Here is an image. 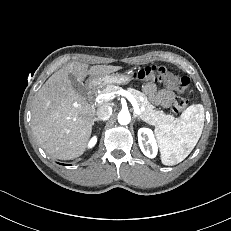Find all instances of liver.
<instances>
[{"mask_svg":"<svg viewBox=\"0 0 231 231\" xmlns=\"http://www.w3.org/2000/svg\"><path fill=\"white\" fill-rule=\"evenodd\" d=\"M121 66L71 62L55 72L36 93L31 109L34 136L46 153L61 160L81 156L92 133L95 108L72 87L69 74L82 82L89 75L102 76ZM77 114V119L73 117Z\"/></svg>","mask_w":231,"mask_h":231,"instance_id":"1","label":"liver"}]
</instances>
